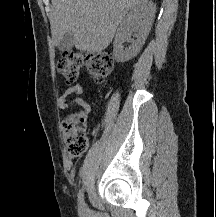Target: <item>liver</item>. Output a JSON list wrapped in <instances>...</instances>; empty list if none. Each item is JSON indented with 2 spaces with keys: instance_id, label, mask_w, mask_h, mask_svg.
<instances>
[{
  "instance_id": "obj_1",
  "label": "liver",
  "mask_w": 216,
  "mask_h": 217,
  "mask_svg": "<svg viewBox=\"0 0 216 217\" xmlns=\"http://www.w3.org/2000/svg\"><path fill=\"white\" fill-rule=\"evenodd\" d=\"M148 0H52V39L58 45L72 34L76 49L99 53L113 40L125 14Z\"/></svg>"
}]
</instances>
